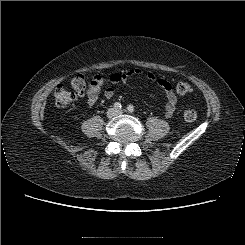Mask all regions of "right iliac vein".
<instances>
[{"mask_svg":"<svg viewBox=\"0 0 245 245\" xmlns=\"http://www.w3.org/2000/svg\"><path fill=\"white\" fill-rule=\"evenodd\" d=\"M116 113H117L116 110L114 108H111L108 110L107 116L108 117H114L116 115Z\"/></svg>","mask_w":245,"mask_h":245,"instance_id":"right-iliac-vein-1","label":"right iliac vein"}]
</instances>
